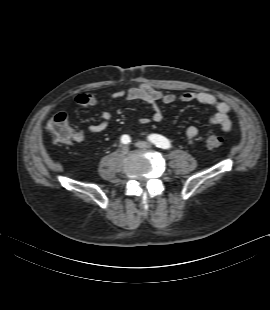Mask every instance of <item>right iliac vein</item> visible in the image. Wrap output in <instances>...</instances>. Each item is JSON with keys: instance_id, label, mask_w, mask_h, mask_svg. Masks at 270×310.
<instances>
[{"instance_id": "right-iliac-vein-1", "label": "right iliac vein", "mask_w": 270, "mask_h": 310, "mask_svg": "<svg viewBox=\"0 0 270 310\" xmlns=\"http://www.w3.org/2000/svg\"><path fill=\"white\" fill-rule=\"evenodd\" d=\"M129 148L126 145L121 146L120 151L123 154H126L128 152Z\"/></svg>"}]
</instances>
